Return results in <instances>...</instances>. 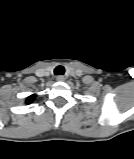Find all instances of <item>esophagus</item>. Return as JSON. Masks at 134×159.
Instances as JSON below:
<instances>
[{"instance_id":"obj_1","label":"esophagus","mask_w":134,"mask_h":159,"mask_svg":"<svg viewBox=\"0 0 134 159\" xmlns=\"http://www.w3.org/2000/svg\"><path fill=\"white\" fill-rule=\"evenodd\" d=\"M56 80L59 81V82H62V81L65 80V76H64V75H58V76L56 77Z\"/></svg>"}]
</instances>
